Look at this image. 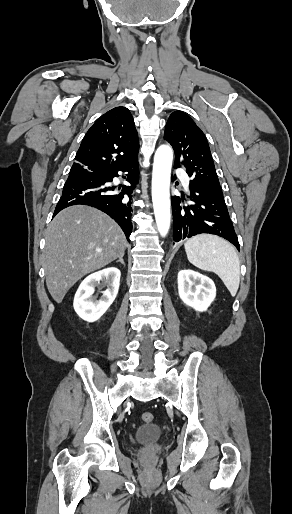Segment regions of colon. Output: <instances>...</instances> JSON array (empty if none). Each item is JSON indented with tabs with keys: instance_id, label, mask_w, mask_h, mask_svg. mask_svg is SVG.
I'll use <instances>...</instances> for the list:
<instances>
[{
	"instance_id": "obj_1",
	"label": "colon",
	"mask_w": 292,
	"mask_h": 514,
	"mask_svg": "<svg viewBox=\"0 0 292 514\" xmlns=\"http://www.w3.org/2000/svg\"><path fill=\"white\" fill-rule=\"evenodd\" d=\"M141 419L144 423L149 424L153 421L154 415L149 411H143L141 413Z\"/></svg>"
}]
</instances>
